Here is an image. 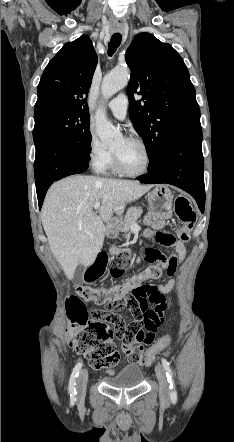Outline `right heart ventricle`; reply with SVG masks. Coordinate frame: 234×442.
Wrapping results in <instances>:
<instances>
[{"instance_id":"obj_1","label":"right heart ventricle","mask_w":234,"mask_h":442,"mask_svg":"<svg viewBox=\"0 0 234 442\" xmlns=\"http://www.w3.org/2000/svg\"><path fill=\"white\" fill-rule=\"evenodd\" d=\"M103 171H105V172H106V171H112V172H115L114 165H113V155L111 156V159L109 160L107 166L104 168Z\"/></svg>"}]
</instances>
